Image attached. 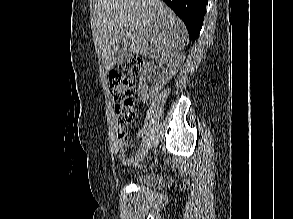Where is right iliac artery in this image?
Segmentation results:
<instances>
[{"label": "right iliac artery", "mask_w": 293, "mask_h": 219, "mask_svg": "<svg viewBox=\"0 0 293 219\" xmlns=\"http://www.w3.org/2000/svg\"><path fill=\"white\" fill-rule=\"evenodd\" d=\"M145 147V142H143L139 148V151Z\"/></svg>", "instance_id": "1"}]
</instances>
